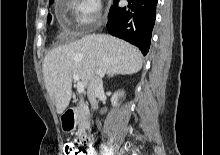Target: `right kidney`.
Returning <instances> with one entry per match:
<instances>
[{
  "label": "right kidney",
  "mask_w": 220,
  "mask_h": 155,
  "mask_svg": "<svg viewBox=\"0 0 220 155\" xmlns=\"http://www.w3.org/2000/svg\"><path fill=\"white\" fill-rule=\"evenodd\" d=\"M123 95H124L123 91H118L113 94V96L111 98V102H112L113 106H117L118 97L123 96Z\"/></svg>",
  "instance_id": "right-kidney-1"
}]
</instances>
